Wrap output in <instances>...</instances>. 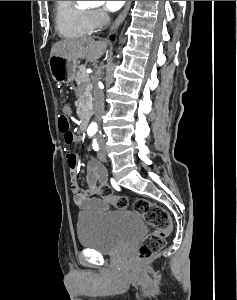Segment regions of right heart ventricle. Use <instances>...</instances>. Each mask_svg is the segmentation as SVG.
Returning <instances> with one entry per match:
<instances>
[{"mask_svg": "<svg viewBox=\"0 0 237 300\" xmlns=\"http://www.w3.org/2000/svg\"><path fill=\"white\" fill-rule=\"evenodd\" d=\"M55 23L57 31L64 37L90 32L89 12L76 1H55Z\"/></svg>", "mask_w": 237, "mask_h": 300, "instance_id": "1", "label": "right heart ventricle"}]
</instances>
